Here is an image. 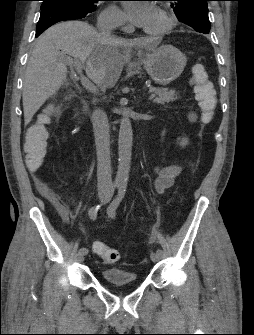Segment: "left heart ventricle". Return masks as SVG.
<instances>
[{"instance_id": "obj_1", "label": "left heart ventricle", "mask_w": 254, "mask_h": 335, "mask_svg": "<svg viewBox=\"0 0 254 335\" xmlns=\"http://www.w3.org/2000/svg\"><path fill=\"white\" fill-rule=\"evenodd\" d=\"M164 25L163 19L160 17V15L155 12L154 18L149 26L150 31L158 30Z\"/></svg>"}]
</instances>
